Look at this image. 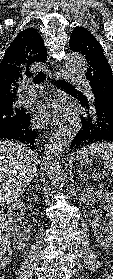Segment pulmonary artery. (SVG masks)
Listing matches in <instances>:
<instances>
[{"instance_id":"e3ab8cb5","label":"pulmonary artery","mask_w":113,"mask_h":279,"mask_svg":"<svg viewBox=\"0 0 113 279\" xmlns=\"http://www.w3.org/2000/svg\"><path fill=\"white\" fill-rule=\"evenodd\" d=\"M69 79L71 82L82 86L84 89H88L86 82L83 79H81L80 77H71L70 76ZM24 89H25L24 93L22 95H20V97H19L20 103L32 102L36 98L37 93L39 91H41V88L35 87V86H30V85H26Z\"/></svg>"}]
</instances>
